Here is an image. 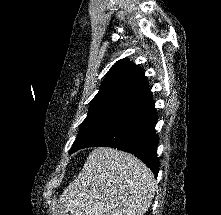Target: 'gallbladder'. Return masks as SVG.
I'll list each match as a JSON object with an SVG mask.
<instances>
[{
    "mask_svg": "<svg viewBox=\"0 0 221 215\" xmlns=\"http://www.w3.org/2000/svg\"><path fill=\"white\" fill-rule=\"evenodd\" d=\"M68 212H69V210L66 205H64V204L58 205L57 215H68Z\"/></svg>",
    "mask_w": 221,
    "mask_h": 215,
    "instance_id": "1",
    "label": "gallbladder"
}]
</instances>
